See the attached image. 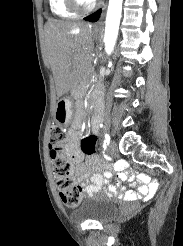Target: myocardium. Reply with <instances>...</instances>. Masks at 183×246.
<instances>
[{
	"instance_id": "f54148a6",
	"label": "myocardium",
	"mask_w": 183,
	"mask_h": 246,
	"mask_svg": "<svg viewBox=\"0 0 183 246\" xmlns=\"http://www.w3.org/2000/svg\"><path fill=\"white\" fill-rule=\"evenodd\" d=\"M66 1L70 9L79 14L88 13L92 11L96 6L94 1L88 3H84L81 0H66Z\"/></svg>"
}]
</instances>
